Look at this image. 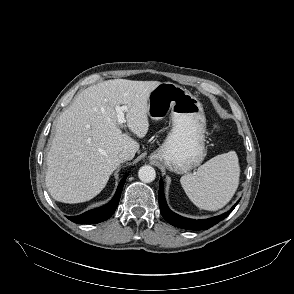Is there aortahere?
Listing matches in <instances>:
<instances>
[{"mask_svg": "<svg viewBox=\"0 0 294 294\" xmlns=\"http://www.w3.org/2000/svg\"><path fill=\"white\" fill-rule=\"evenodd\" d=\"M139 179L144 183H150L154 181L156 177L155 169L149 165L142 166L138 172Z\"/></svg>", "mask_w": 294, "mask_h": 294, "instance_id": "aorta-1", "label": "aorta"}]
</instances>
